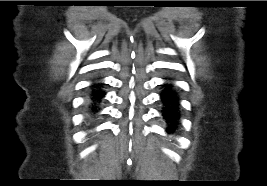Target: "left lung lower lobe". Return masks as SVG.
Listing matches in <instances>:
<instances>
[{
  "mask_svg": "<svg viewBox=\"0 0 267 186\" xmlns=\"http://www.w3.org/2000/svg\"><path fill=\"white\" fill-rule=\"evenodd\" d=\"M164 87L165 89L161 94V100L163 103L162 116L168 124L167 132L172 133L179 124V98L172 90L171 84H164Z\"/></svg>",
  "mask_w": 267,
  "mask_h": 186,
  "instance_id": "1",
  "label": "left lung lower lobe"
}]
</instances>
